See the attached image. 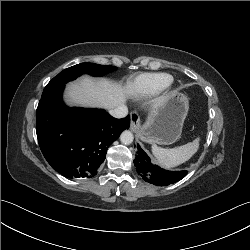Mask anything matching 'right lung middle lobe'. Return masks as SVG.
Listing matches in <instances>:
<instances>
[{
	"label": "right lung middle lobe",
	"mask_w": 250,
	"mask_h": 250,
	"mask_svg": "<svg viewBox=\"0 0 250 250\" xmlns=\"http://www.w3.org/2000/svg\"><path fill=\"white\" fill-rule=\"evenodd\" d=\"M116 70L114 66L99 65L95 63H81L61 71L55 76L44 88L42 96H45L57 88L63 86L65 83L76 79L83 73H89L92 76H103L109 72Z\"/></svg>",
	"instance_id": "dd1d6c3e"
}]
</instances>
